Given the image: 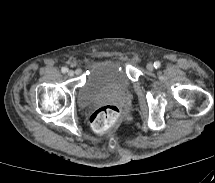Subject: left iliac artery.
I'll list each match as a JSON object with an SVG mask.
<instances>
[{"mask_svg":"<svg viewBox=\"0 0 215 183\" xmlns=\"http://www.w3.org/2000/svg\"><path fill=\"white\" fill-rule=\"evenodd\" d=\"M161 66V63L159 61H156L154 62V67L157 69V68H160Z\"/></svg>","mask_w":215,"mask_h":183,"instance_id":"obj_1","label":"left iliac artery"}]
</instances>
